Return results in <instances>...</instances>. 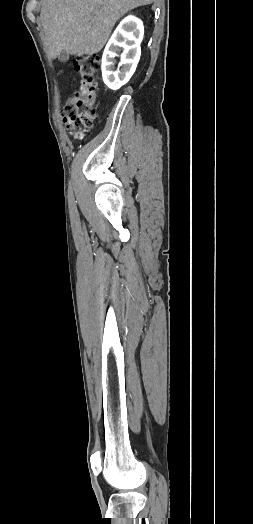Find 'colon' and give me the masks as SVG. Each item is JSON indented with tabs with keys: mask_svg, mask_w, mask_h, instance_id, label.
<instances>
[{
	"mask_svg": "<svg viewBox=\"0 0 253 524\" xmlns=\"http://www.w3.org/2000/svg\"><path fill=\"white\" fill-rule=\"evenodd\" d=\"M99 66L98 55H84L75 60L80 83L63 106L62 120L76 139H81L92 128L96 117V73Z\"/></svg>",
	"mask_w": 253,
	"mask_h": 524,
	"instance_id": "5ec220e1",
	"label": "colon"
}]
</instances>
